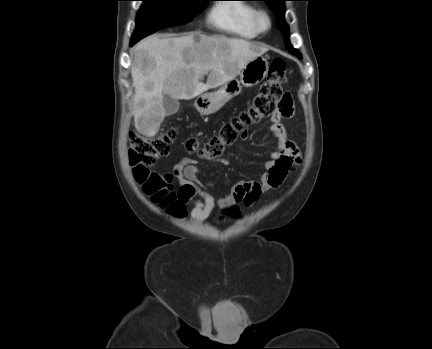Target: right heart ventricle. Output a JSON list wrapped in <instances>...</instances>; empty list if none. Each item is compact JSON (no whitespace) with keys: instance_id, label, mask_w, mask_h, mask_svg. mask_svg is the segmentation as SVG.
Returning a JSON list of instances; mask_svg holds the SVG:
<instances>
[{"instance_id":"right-heart-ventricle-1","label":"right heart ventricle","mask_w":432,"mask_h":349,"mask_svg":"<svg viewBox=\"0 0 432 349\" xmlns=\"http://www.w3.org/2000/svg\"><path fill=\"white\" fill-rule=\"evenodd\" d=\"M216 3L208 14V22L216 29L240 39H254L258 36L253 17L257 10L252 4L238 0Z\"/></svg>"}]
</instances>
